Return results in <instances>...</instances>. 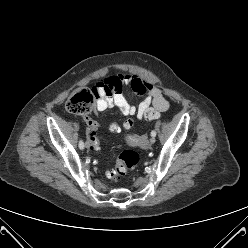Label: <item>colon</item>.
Masks as SVG:
<instances>
[{
  "label": "colon",
  "mask_w": 248,
  "mask_h": 248,
  "mask_svg": "<svg viewBox=\"0 0 248 248\" xmlns=\"http://www.w3.org/2000/svg\"><path fill=\"white\" fill-rule=\"evenodd\" d=\"M99 96V91L96 86L93 89H79L74 92L66 102V109L75 115L86 116L93 107L94 99ZM160 116V112L155 109H150L145 113V118L154 120ZM135 119L126 117L121 120L123 129H133L135 127ZM120 126L114 123L110 126L112 132H117ZM85 141L91 148H98L101 145V138L95 129H88L85 132ZM141 162V155L135 150H125L117 158L114 167L109 171L110 179L117 180L125 176L128 171H132Z\"/></svg>",
  "instance_id": "obj_1"
}]
</instances>
